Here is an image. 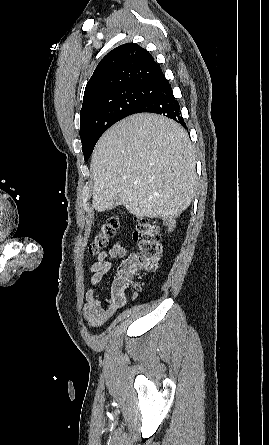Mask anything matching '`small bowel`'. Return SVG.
<instances>
[{"mask_svg": "<svg viewBox=\"0 0 269 445\" xmlns=\"http://www.w3.org/2000/svg\"><path fill=\"white\" fill-rule=\"evenodd\" d=\"M127 254L128 248L122 243H116L109 251L100 252L97 261L89 268L90 288L86 292L83 317L90 328L101 327L126 303L125 292H116L113 288L109 297L102 301L96 294V287L110 272L111 260L125 258Z\"/></svg>", "mask_w": 269, "mask_h": 445, "instance_id": "c3829d8e", "label": "small bowel"}]
</instances>
